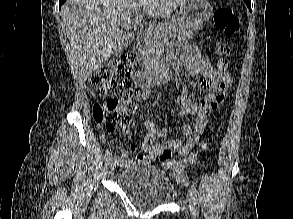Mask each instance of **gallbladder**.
<instances>
[{
  "label": "gallbladder",
  "mask_w": 293,
  "mask_h": 219,
  "mask_svg": "<svg viewBox=\"0 0 293 219\" xmlns=\"http://www.w3.org/2000/svg\"><path fill=\"white\" fill-rule=\"evenodd\" d=\"M134 36L132 34L123 35L121 39V44L118 47L117 51L114 53V56L120 55L133 41Z\"/></svg>",
  "instance_id": "bac80fb5"
}]
</instances>
